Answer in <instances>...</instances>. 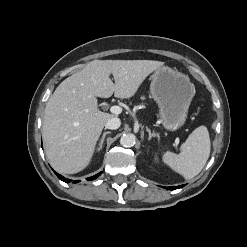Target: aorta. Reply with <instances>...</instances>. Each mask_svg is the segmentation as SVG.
I'll return each mask as SVG.
<instances>
[{"label":"aorta","instance_id":"762f6f07","mask_svg":"<svg viewBox=\"0 0 247 247\" xmlns=\"http://www.w3.org/2000/svg\"><path fill=\"white\" fill-rule=\"evenodd\" d=\"M136 137L134 134L126 133L120 138V144L124 147H132L135 145Z\"/></svg>","mask_w":247,"mask_h":247}]
</instances>
